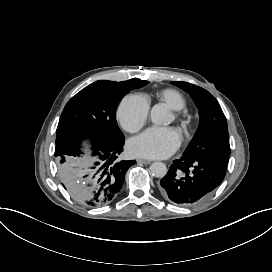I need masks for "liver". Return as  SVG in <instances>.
Segmentation results:
<instances>
[{
	"label": "liver",
	"mask_w": 272,
	"mask_h": 272,
	"mask_svg": "<svg viewBox=\"0 0 272 272\" xmlns=\"http://www.w3.org/2000/svg\"><path fill=\"white\" fill-rule=\"evenodd\" d=\"M79 165L78 163L77 164H73V171L76 173V175H78L79 177H82L84 176L85 174V171L86 170H83V169H80V168H76L75 166ZM81 167H85L86 164H80Z\"/></svg>",
	"instance_id": "obj_1"
}]
</instances>
